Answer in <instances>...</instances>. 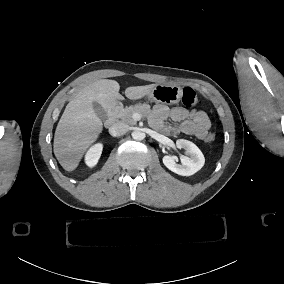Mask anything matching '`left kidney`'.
Here are the masks:
<instances>
[{
  "label": "left kidney",
  "mask_w": 284,
  "mask_h": 284,
  "mask_svg": "<svg viewBox=\"0 0 284 284\" xmlns=\"http://www.w3.org/2000/svg\"><path fill=\"white\" fill-rule=\"evenodd\" d=\"M176 146L179 149H184L188 156L181 157V164L176 163V156H164L163 163L169 170L178 175L190 176L204 166V155L193 142L185 139H178L176 141Z\"/></svg>",
  "instance_id": "1"
}]
</instances>
